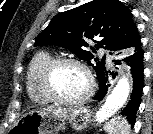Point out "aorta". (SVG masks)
I'll list each match as a JSON object with an SVG mask.
<instances>
[{
  "instance_id": "1",
  "label": "aorta",
  "mask_w": 153,
  "mask_h": 134,
  "mask_svg": "<svg viewBox=\"0 0 153 134\" xmlns=\"http://www.w3.org/2000/svg\"><path fill=\"white\" fill-rule=\"evenodd\" d=\"M130 89L129 80L125 75H123L118 80L111 94L107 96L102 108L97 112V120L101 122L122 108L128 99Z\"/></svg>"
}]
</instances>
